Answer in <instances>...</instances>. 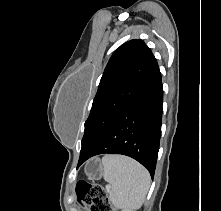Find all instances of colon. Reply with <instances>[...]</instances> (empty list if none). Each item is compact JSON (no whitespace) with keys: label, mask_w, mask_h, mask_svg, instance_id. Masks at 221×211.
I'll list each match as a JSON object with an SVG mask.
<instances>
[{"label":"colon","mask_w":221,"mask_h":211,"mask_svg":"<svg viewBox=\"0 0 221 211\" xmlns=\"http://www.w3.org/2000/svg\"><path fill=\"white\" fill-rule=\"evenodd\" d=\"M76 195L88 211H113L108 194L98 184L81 180L76 184Z\"/></svg>","instance_id":"obj_1"}]
</instances>
